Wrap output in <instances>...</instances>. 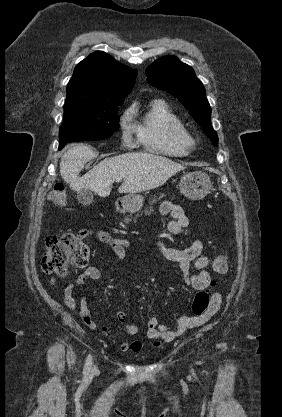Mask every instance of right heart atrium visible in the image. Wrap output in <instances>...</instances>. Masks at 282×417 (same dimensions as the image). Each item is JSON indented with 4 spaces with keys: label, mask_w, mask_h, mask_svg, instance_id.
<instances>
[{
    "label": "right heart atrium",
    "mask_w": 282,
    "mask_h": 417,
    "mask_svg": "<svg viewBox=\"0 0 282 417\" xmlns=\"http://www.w3.org/2000/svg\"><path fill=\"white\" fill-rule=\"evenodd\" d=\"M123 140L127 145L132 144V136L136 132L134 124L129 119H124L122 122Z\"/></svg>",
    "instance_id": "right-heart-atrium-1"
}]
</instances>
